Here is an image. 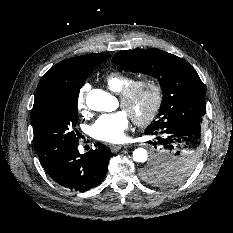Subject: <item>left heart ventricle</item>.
I'll list each match as a JSON object with an SVG mask.
<instances>
[{
    "label": "left heart ventricle",
    "instance_id": "obj_1",
    "mask_svg": "<svg viewBox=\"0 0 233 233\" xmlns=\"http://www.w3.org/2000/svg\"><path fill=\"white\" fill-rule=\"evenodd\" d=\"M151 103V93L149 89L142 88L138 90L132 99L130 105L125 108L129 115L142 116L146 114Z\"/></svg>",
    "mask_w": 233,
    "mask_h": 233
}]
</instances>
